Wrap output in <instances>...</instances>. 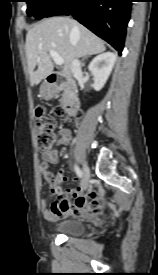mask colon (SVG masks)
Segmentation results:
<instances>
[{
	"label": "colon",
	"instance_id": "colon-1",
	"mask_svg": "<svg viewBox=\"0 0 158 275\" xmlns=\"http://www.w3.org/2000/svg\"><path fill=\"white\" fill-rule=\"evenodd\" d=\"M55 112L60 117L64 115V111L61 108H57ZM35 128L37 147L39 151L46 153L49 151L56 139V122L43 108H37L35 115ZM62 179L63 176L59 173L56 178L57 194H61V188L58 186L57 182Z\"/></svg>",
	"mask_w": 158,
	"mask_h": 275
}]
</instances>
